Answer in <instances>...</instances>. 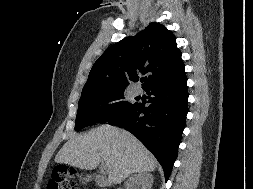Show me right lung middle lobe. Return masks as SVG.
Instances as JSON below:
<instances>
[{
    "label": "right lung middle lobe",
    "mask_w": 253,
    "mask_h": 189,
    "mask_svg": "<svg viewBox=\"0 0 253 189\" xmlns=\"http://www.w3.org/2000/svg\"><path fill=\"white\" fill-rule=\"evenodd\" d=\"M126 87H101L82 91L78 105L75 130L95 123H105L133 108L124 100L123 92ZM111 101H115L108 104Z\"/></svg>",
    "instance_id": "right-lung-middle-lobe-1"
}]
</instances>
